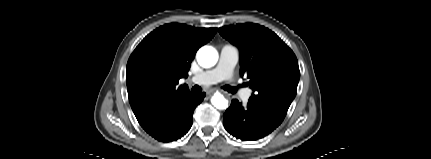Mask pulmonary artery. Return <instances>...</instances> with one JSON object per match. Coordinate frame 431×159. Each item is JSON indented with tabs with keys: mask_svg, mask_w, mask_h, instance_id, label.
<instances>
[{
	"mask_svg": "<svg viewBox=\"0 0 431 159\" xmlns=\"http://www.w3.org/2000/svg\"><path fill=\"white\" fill-rule=\"evenodd\" d=\"M239 61V50L236 46L225 44L220 50L219 61L211 69L200 72L192 77V82L199 85H211L228 80L232 77L233 71ZM252 91L242 89L240 97L243 101H248Z\"/></svg>",
	"mask_w": 431,
	"mask_h": 159,
	"instance_id": "obj_1",
	"label": "pulmonary artery"
}]
</instances>
